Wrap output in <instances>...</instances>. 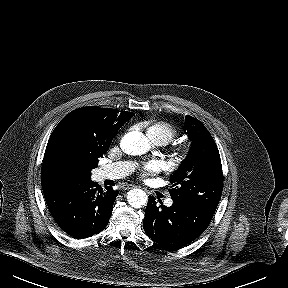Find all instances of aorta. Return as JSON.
Segmentation results:
<instances>
[{
	"label": "aorta",
	"mask_w": 288,
	"mask_h": 288,
	"mask_svg": "<svg viewBox=\"0 0 288 288\" xmlns=\"http://www.w3.org/2000/svg\"><path fill=\"white\" fill-rule=\"evenodd\" d=\"M120 146L125 153L134 156L145 154L150 148L146 136L137 131L125 134ZM147 200V194L141 189L134 188L127 193V201L131 207L141 208Z\"/></svg>",
	"instance_id": "1"
}]
</instances>
